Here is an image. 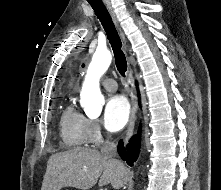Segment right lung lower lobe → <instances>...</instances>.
I'll list each match as a JSON object with an SVG mask.
<instances>
[{
  "instance_id": "obj_1",
  "label": "right lung lower lobe",
  "mask_w": 221,
  "mask_h": 190,
  "mask_svg": "<svg viewBox=\"0 0 221 190\" xmlns=\"http://www.w3.org/2000/svg\"><path fill=\"white\" fill-rule=\"evenodd\" d=\"M140 149V128L137 135L133 136L127 147L125 148L123 145V141L121 140L118 144V153L123 160H126L127 163L132 166L133 162H135L139 155Z\"/></svg>"
}]
</instances>
